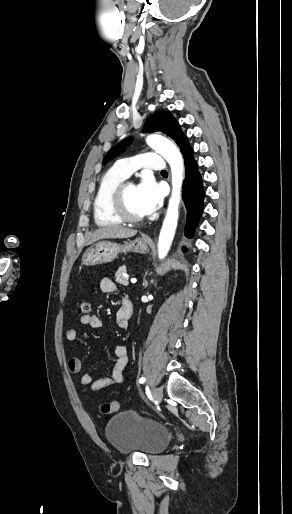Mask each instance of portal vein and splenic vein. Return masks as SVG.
<instances>
[{
    "mask_svg": "<svg viewBox=\"0 0 292 514\" xmlns=\"http://www.w3.org/2000/svg\"><path fill=\"white\" fill-rule=\"evenodd\" d=\"M131 282H132V284H136V282H137L136 278H132Z\"/></svg>",
    "mask_w": 292,
    "mask_h": 514,
    "instance_id": "portal-vein-and-splenic-vein-1",
    "label": "portal vein and splenic vein"
}]
</instances>
